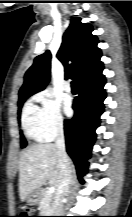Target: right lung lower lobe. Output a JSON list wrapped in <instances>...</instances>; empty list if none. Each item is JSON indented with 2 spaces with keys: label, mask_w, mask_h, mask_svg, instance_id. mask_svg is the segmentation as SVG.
<instances>
[{
  "label": "right lung lower lobe",
  "mask_w": 132,
  "mask_h": 217,
  "mask_svg": "<svg viewBox=\"0 0 132 217\" xmlns=\"http://www.w3.org/2000/svg\"><path fill=\"white\" fill-rule=\"evenodd\" d=\"M105 77L78 84V96L74 99L73 118L64 121L66 150L74 161L79 180L88 168L91 148L95 142V130L100 124V115L104 111L103 100L106 97L103 89Z\"/></svg>",
  "instance_id": "98d812e1"
}]
</instances>
